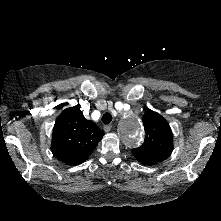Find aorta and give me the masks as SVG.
Wrapping results in <instances>:
<instances>
[{
  "mask_svg": "<svg viewBox=\"0 0 221 221\" xmlns=\"http://www.w3.org/2000/svg\"><path fill=\"white\" fill-rule=\"evenodd\" d=\"M119 136L128 147L138 146L144 136L142 123L135 117L125 119L119 128Z\"/></svg>",
  "mask_w": 221,
  "mask_h": 221,
  "instance_id": "aorta-1",
  "label": "aorta"
}]
</instances>
